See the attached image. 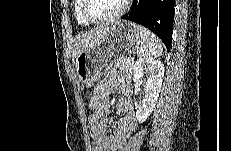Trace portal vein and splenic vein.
<instances>
[{
  "instance_id": "portal-vein-and-splenic-vein-1",
  "label": "portal vein and splenic vein",
  "mask_w": 231,
  "mask_h": 151,
  "mask_svg": "<svg viewBox=\"0 0 231 151\" xmlns=\"http://www.w3.org/2000/svg\"><path fill=\"white\" fill-rule=\"evenodd\" d=\"M132 61H133V59H131V58H126V59H125V62H126V63H130V62H132Z\"/></svg>"
}]
</instances>
